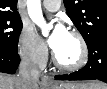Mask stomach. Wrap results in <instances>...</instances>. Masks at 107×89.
<instances>
[{
	"label": "stomach",
	"instance_id": "obj_1",
	"mask_svg": "<svg viewBox=\"0 0 107 89\" xmlns=\"http://www.w3.org/2000/svg\"><path fill=\"white\" fill-rule=\"evenodd\" d=\"M48 89H81L80 85L72 84V83H62L58 85H54Z\"/></svg>",
	"mask_w": 107,
	"mask_h": 89
}]
</instances>
